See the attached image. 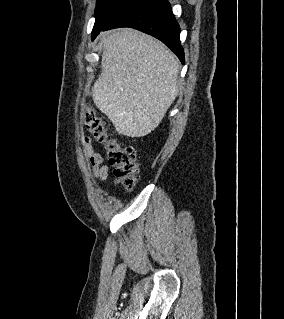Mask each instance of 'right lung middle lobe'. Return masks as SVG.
I'll return each mask as SVG.
<instances>
[{
    "mask_svg": "<svg viewBox=\"0 0 284 319\" xmlns=\"http://www.w3.org/2000/svg\"><path fill=\"white\" fill-rule=\"evenodd\" d=\"M137 0H98L95 9V24L93 32L106 26L122 11L130 7Z\"/></svg>",
    "mask_w": 284,
    "mask_h": 319,
    "instance_id": "1",
    "label": "right lung middle lobe"
}]
</instances>
